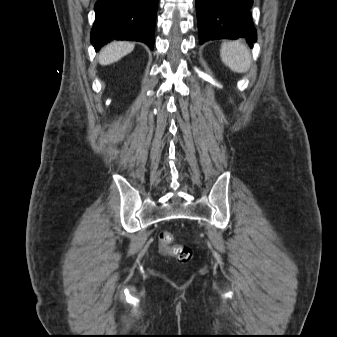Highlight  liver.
<instances>
[{
    "instance_id": "1",
    "label": "liver",
    "mask_w": 337,
    "mask_h": 337,
    "mask_svg": "<svg viewBox=\"0 0 337 337\" xmlns=\"http://www.w3.org/2000/svg\"><path fill=\"white\" fill-rule=\"evenodd\" d=\"M134 44L128 41H114L109 43L99 55L101 65H109L120 60L125 55L132 52Z\"/></svg>"
}]
</instances>
